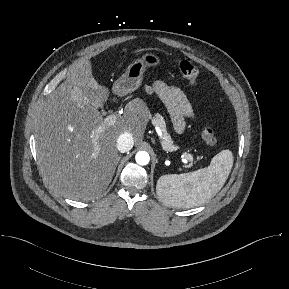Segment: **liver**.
Masks as SVG:
<instances>
[{
	"label": "liver",
	"mask_w": 289,
	"mask_h": 289,
	"mask_svg": "<svg viewBox=\"0 0 289 289\" xmlns=\"http://www.w3.org/2000/svg\"><path fill=\"white\" fill-rule=\"evenodd\" d=\"M109 90L93 77L88 59L45 101L35 126L37 161L47 184L74 200H90L109 186L119 161L117 139L124 133L143 140L149 111L140 99L130 101L114 125H107L95 106Z\"/></svg>",
	"instance_id": "6515ba94"
}]
</instances>
